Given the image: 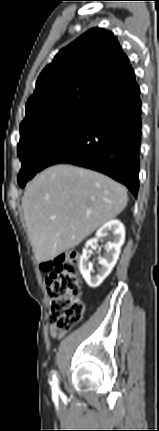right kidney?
<instances>
[{"label": "right kidney", "instance_id": "right-kidney-1", "mask_svg": "<svg viewBox=\"0 0 159 431\" xmlns=\"http://www.w3.org/2000/svg\"><path fill=\"white\" fill-rule=\"evenodd\" d=\"M110 234L111 242L105 246L103 257L98 258L100 267L97 269L96 274L91 275L88 249L90 246L96 245L98 239ZM124 240V225L119 220H111L104 224L97 231L95 238H92L86 242L83 253L80 257L79 269L89 287L97 288L111 273L119 258L121 246L123 245Z\"/></svg>", "mask_w": 159, "mask_h": 431}]
</instances>
